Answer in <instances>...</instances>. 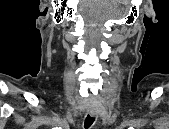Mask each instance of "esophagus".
Returning <instances> with one entry per match:
<instances>
[{
	"instance_id": "obj_1",
	"label": "esophagus",
	"mask_w": 169,
	"mask_h": 129,
	"mask_svg": "<svg viewBox=\"0 0 169 129\" xmlns=\"http://www.w3.org/2000/svg\"><path fill=\"white\" fill-rule=\"evenodd\" d=\"M88 113L90 114V116L95 117L96 113L92 110H88Z\"/></svg>"
}]
</instances>
